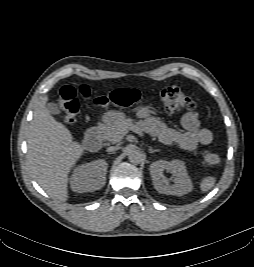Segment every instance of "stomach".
Wrapping results in <instances>:
<instances>
[{"mask_svg":"<svg viewBox=\"0 0 254 267\" xmlns=\"http://www.w3.org/2000/svg\"><path fill=\"white\" fill-rule=\"evenodd\" d=\"M125 118V114L120 112V111H114V110H111V111H108L107 113H105L102 117V120L105 122V123H111L113 121H116V120H123Z\"/></svg>","mask_w":254,"mask_h":267,"instance_id":"obj_1","label":"stomach"}]
</instances>
